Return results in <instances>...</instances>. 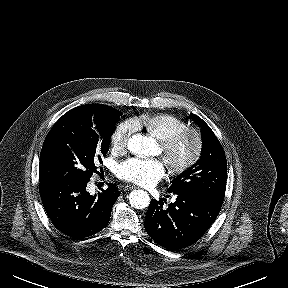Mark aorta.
I'll return each mask as SVG.
<instances>
[{
    "label": "aorta",
    "mask_w": 288,
    "mask_h": 288,
    "mask_svg": "<svg viewBox=\"0 0 288 288\" xmlns=\"http://www.w3.org/2000/svg\"><path fill=\"white\" fill-rule=\"evenodd\" d=\"M128 149L138 156H150L157 149V143L151 137L136 134L129 139ZM129 202L135 209H144L149 205L150 197L146 191L133 190L129 195Z\"/></svg>",
    "instance_id": "1"
}]
</instances>
